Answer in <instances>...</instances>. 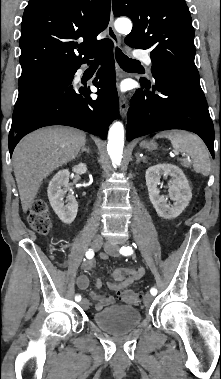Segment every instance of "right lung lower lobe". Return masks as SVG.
Instances as JSON below:
<instances>
[{"label":"right lung lower lobe","mask_w":221,"mask_h":379,"mask_svg":"<svg viewBox=\"0 0 221 379\" xmlns=\"http://www.w3.org/2000/svg\"><path fill=\"white\" fill-rule=\"evenodd\" d=\"M79 67L40 83L26 102L14 109L8 142L10 155L26 134L49 125L72 126L107 138L108 126L119 116L111 52L101 53V68L93 81L99 88L97 99L90 97L92 92L87 86L73 87L72 80Z\"/></svg>","instance_id":"98d812e1"}]
</instances>
